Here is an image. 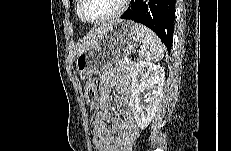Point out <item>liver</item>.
<instances>
[{
    "mask_svg": "<svg viewBox=\"0 0 231 151\" xmlns=\"http://www.w3.org/2000/svg\"><path fill=\"white\" fill-rule=\"evenodd\" d=\"M112 24L111 23H105L94 30H92L89 34H87L83 39H81L78 43V49L77 53L78 55L85 52L87 49L95 45L98 40L101 38V36L107 31L108 27Z\"/></svg>",
    "mask_w": 231,
    "mask_h": 151,
    "instance_id": "6515ba94",
    "label": "liver"
}]
</instances>
